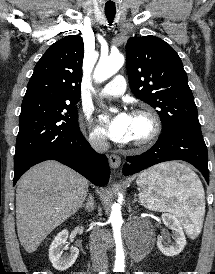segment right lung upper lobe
Instances as JSON below:
<instances>
[{"label":"right lung upper lobe","mask_w":215,"mask_h":274,"mask_svg":"<svg viewBox=\"0 0 215 274\" xmlns=\"http://www.w3.org/2000/svg\"><path fill=\"white\" fill-rule=\"evenodd\" d=\"M83 56L84 44L79 35L52 44L37 62L22 104L37 100L77 102Z\"/></svg>","instance_id":"cb5924a9"}]
</instances>
